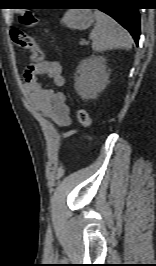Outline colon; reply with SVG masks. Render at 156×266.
Segmentation results:
<instances>
[{
    "mask_svg": "<svg viewBox=\"0 0 156 266\" xmlns=\"http://www.w3.org/2000/svg\"><path fill=\"white\" fill-rule=\"evenodd\" d=\"M20 23L27 28L37 25L38 20L36 16L30 12H24L20 17ZM14 43L20 48L27 49L31 52V63L32 65L38 64L43 61V52L41 48L37 45L34 38L26 34L20 29H14L11 33ZM76 116L82 127L85 129H90L92 125L91 117L88 112L83 108H78L76 110ZM85 139L90 142L92 137L89 133L85 135Z\"/></svg>",
    "mask_w": 156,
    "mask_h": 266,
    "instance_id": "colon-1",
    "label": "colon"
}]
</instances>
